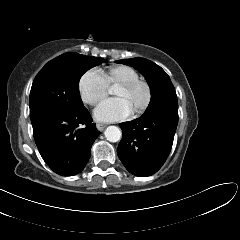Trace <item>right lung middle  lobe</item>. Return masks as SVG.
I'll use <instances>...</instances> for the list:
<instances>
[{"instance_id":"dd1d6c3e","label":"right lung middle lobe","mask_w":240,"mask_h":240,"mask_svg":"<svg viewBox=\"0 0 240 240\" xmlns=\"http://www.w3.org/2000/svg\"><path fill=\"white\" fill-rule=\"evenodd\" d=\"M105 60L77 53H65L38 73L30 92L31 122L59 112H73L84 107L79 93L81 76Z\"/></svg>"}]
</instances>
